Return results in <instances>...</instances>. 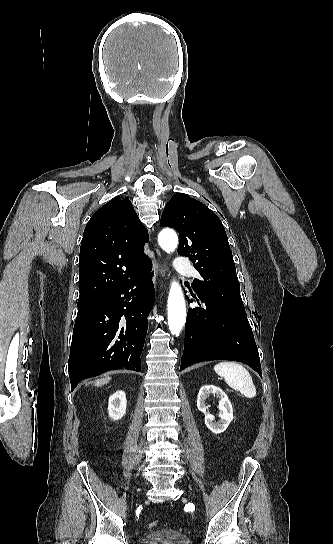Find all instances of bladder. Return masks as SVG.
<instances>
[{
  "mask_svg": "<svg viewBox=\"0 0 333 544\" xmlns=\"http://www.w3.org/2000/svg\"><path fill=\"white\" fill-rule=\"evenodd\" d=\"M141 544H192L190 538L174 529H164L145 535Z\"/></svg>",
  "mask_w": 333,
  "mask_h": 544,
  "instance_id": "obj_1",
  "label": "bladder"
}]
</instances>
